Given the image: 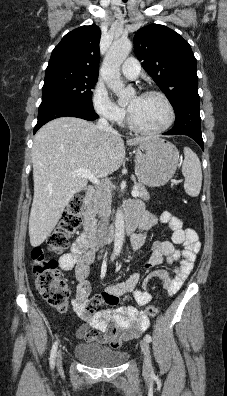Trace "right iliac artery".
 Masks as SVG:
<instances>
[{"label": "right iliac artery", "mask_w": 227, "mask_h": 396, "mask_svg": "<svg viewBox=\"0 0 227 396\" xmlns=\"http://www.w3.org/2000/svg\"><path fill=\"white\" fill-rule=\"evenodd\" d=\"M114 260V256L111 257V261ZM57 347H58V342L56 341L51 349V354H50V367L53 369L55 365V357L57 353Z\"/></svg>", "instance_id": "obj_1"}]
</instances>
